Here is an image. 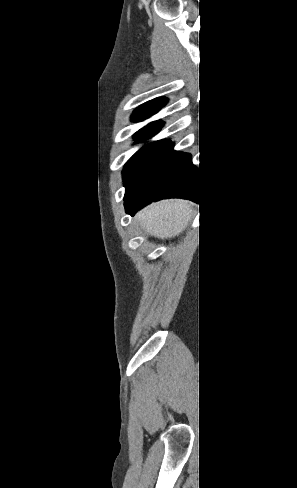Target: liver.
Masks as SVG:
<instances>
[{
	"instance_id": "6515ba94",
	"label": "liver",
	"mask_w": 297,
	"mask_h": 488,
	"mask_svg": "<svg viewBox=\"0 0 297 488\" xmlns=\"http://www.w3.org/2000/svg\"><path fill=\"white\" fill-rule=\"evenodd\" d=\"M195 214L193 203L170 199L146 207L135 219L149 235L164 239L183 232Z\"/></svg>"
}]
</instances>
